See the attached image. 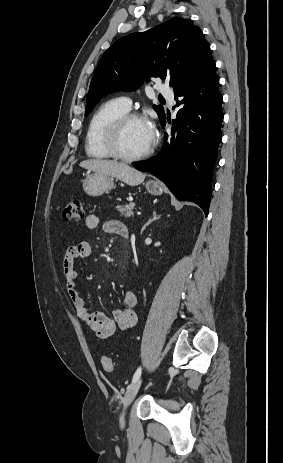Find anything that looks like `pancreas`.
<instances>
[{
	"mask_svg": "<svg viewBox=\"0 0 283 463\" xmlns=\"http://www.w3.org/2000/svg\"><path fill=\"white\" fill-rule=\"evenodd\" d=\"M121 216L131 217L134 215L133 209L135 208V203H129L123 206L116 207Z\"/></svg>",
	"mask_w": 283,
	"mask_h": 463,
	"instance_id": "cf45deb5",
	"label": "pancreas"
}]
</instances>
